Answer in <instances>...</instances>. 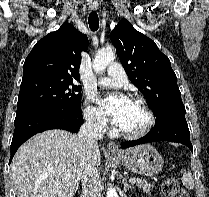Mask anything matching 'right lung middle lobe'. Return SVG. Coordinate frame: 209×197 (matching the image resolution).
Wrapping results in <instances>:
<instances>
[{
    "label": "right lung middle lobe",
    "instance_id": "right-lung-middle-lobe-1",
    "mask_svg": "<svg viewBox=\"0 0 209 197\" xmlns=\"http://www.w3.org/2000/svg\"><path fill=\"white\" fill-rule=\"evenodd\" d=\"M47 108L81 109V88L71 80H35L21 84L16 116Z\"/></svg>",
    "mask_w": 209,
    "mask_h": 197
}]
</instances>
